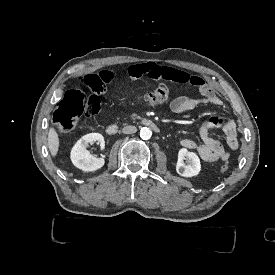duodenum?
<instances>
[{
  "label": "duodenum",
  "mask_w": 275,
  "mask_h": 275,
  "mask_svg": "<svg viewBox=\"0 0 275 275\" xmlns=\"http://www.w3.org/2000/svg\"><path fill=\"white\" fill-rule=\"evenodd\" d=\"M141 124L148 127V128H150L155 133L160 132L159 126L150 119H143L141 121ZM118 130H119V127H118L117 124H109L106 128V132H107L108 135H115L118 132Z\"/></svg>",
  "instance_id": "1"
}]
</instances>
